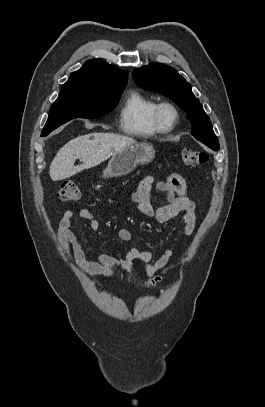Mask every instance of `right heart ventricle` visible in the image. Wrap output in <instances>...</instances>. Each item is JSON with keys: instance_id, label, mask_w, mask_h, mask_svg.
Wrapping results in <instances>:
<instances>
[{"instance_id": "obj_1", "label": "right heart ventricle", "mask_w": 265, "mask_h": 407, "mask_svg": "<svg viewBox=\"0 0 265 407\" xmlns=\"http://www.w3.org/2000/svg\"><path fill=\"white\" fill-rule=\"evenodd\" d=\"M156 106L157 102L153 98L136 90L129 92L120 110L122 130L139 138L158 135L160 131L153 118Z\"/></svg>"}]
</instances>
